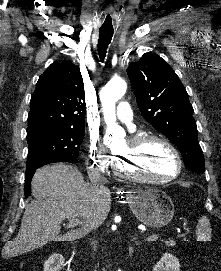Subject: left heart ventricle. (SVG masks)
Listing matches in <instances>:
<instances>
[{"instance_id":"obj_1","label":"left heart ventricle","mask_w":221,"mask_h":271,"mask_svg":"<svg viewBox=\"0 0 221 271\" xmlns=\"http://www.w3.org/2000/svg\"><path fill=\"white\" fill-rule=\"evenodd\" d=\"M155 141H161L155 138H149L145 141H138V156H124L123 160H115L114 164L124 174L130 175H165V177H176V165H173V153H169L171 147H162V144H155ZM155 176V177H156Z\"/></svg>"}]
</instances>
